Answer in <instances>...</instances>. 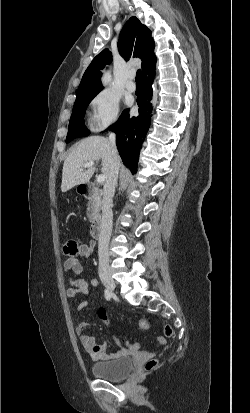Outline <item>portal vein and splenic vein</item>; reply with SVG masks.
<instances>
[{"instance_id": "1", "label": "portal vein and splenic vein", "mask_w": 250, "mask_h": 413, "mask_svg": "<svg viewBox=\"0 0 250 413\" xmlns=\"http://www.w3.org/2000/svg\"><path fill=\"white\" fill-rule=\"evenodd\" d=\"M94 165H95L94 162L86 163V164L83 166V168H81V170H83L84 168L92 167V166H94ZM96 180H97L98 183H104V181H105V176H104L103 174H101V175L97 176V179H96Z\"/></svg>"}]
</instances>
